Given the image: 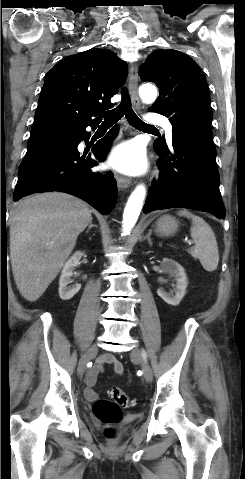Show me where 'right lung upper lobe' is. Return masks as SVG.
Returning <instances> with one entry per match:
<instances>
[{
  "label": "right lung upper lobe",
  "mask_w": 245,
  "mask_h": 479,
  "mask_svg": "<svg viewBox=\"0 0 245 479\" xmlns=\"http://www.w3.org/2000/svg\"><path fill=\"white\" fill-rule=\"evenodd\" d=\"M126 77V62L110 50L93 48L62 59L45 78L32 132L101 121Z\"/></svg>",
  "instance_id": "cb5924a9"
}]
</instances>
